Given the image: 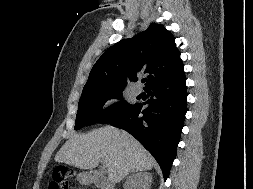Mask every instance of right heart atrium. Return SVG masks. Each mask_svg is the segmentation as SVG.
<instances>
[{
	"label": "right heart atrium",
	"mask_w": 253,
	"mask_h": 189,
	"mask_svg": "<svg viewBox=\"0 0 253 189\" xmlns=\"http://www.w3.org/2000/svg\"><path fill=\"white\" fill-rule=\"evenodd\" d=\"M110 103H111V101H108V102H107V105L110 104Z\"/></svg>",
	"instance_id": "obj_1"
}]
</instances>
